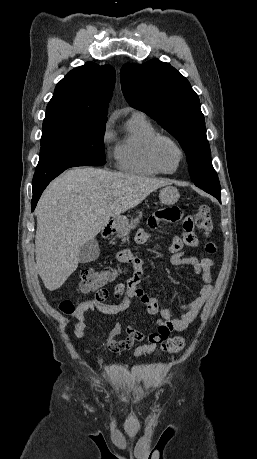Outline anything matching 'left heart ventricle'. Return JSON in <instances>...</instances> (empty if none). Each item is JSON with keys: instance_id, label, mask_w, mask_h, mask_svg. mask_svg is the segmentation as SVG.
Here are the masks:
<instances>
[{"instance_id": "1", "label": "left heart ventricle", "mask_w": 257, "mask_h": 459, "mask_svg": "<svg viewBox=\"0 0 257 459\" xmlns=\"http://www.w3.org/2000/svg\"><path fill=\"white\" fill-rule=\"evenodd\" d=\"M157 157L165 169L173 170L178 164L179 152L171 142L163 140L158 144Z\"/></svg>"}]
</instances>
